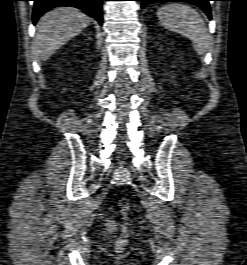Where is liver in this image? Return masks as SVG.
<instances>
[{
    "label": "liver",
    "mask_w": 247,
    "mask_h": 265,
    "mask_svg": "<svg viewBox=\"0 0 247 265\" xmlns=\"http://www.w3.org/2000/svg\"><path fill=\"white\" fill-rule=\"evenodd\" d=\"M90 24V18L73 7H58L47 12L37 23L33 52L45 61L66 42Z\"/></svg>",
    "instance_id": "6515ba94"
}]
</instances>
